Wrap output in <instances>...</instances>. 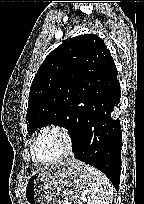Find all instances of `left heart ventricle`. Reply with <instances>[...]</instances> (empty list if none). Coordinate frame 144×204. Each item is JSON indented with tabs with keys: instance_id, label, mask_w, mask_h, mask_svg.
<instances>
[{
	"instance_id": "left-heart-ventricle-1",
	"label": "left heart ventricle",
	"mask_w": 144,
	"mask_h": 204,
	"mask_svg": "<svg viewBox=\"0 0 144 204\" xmlns=\"http://www.w3.org/2000/svg\"><path fill=\"white\" fill-rule=\"evenodd\" d=\"M64 150V139L56 132H47L41 135L35 146L37 158L44 162L58 158Z\"/></svg>"
}]
</instances>
